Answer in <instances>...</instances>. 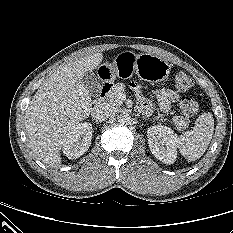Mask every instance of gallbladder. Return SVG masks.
<instances>
[{"instance_id": "1", "label": "gallbladder", "mask_w": 233, "mask_h": 233, "mask_svg": "<svg viewBox=\"0 0 233 233\" xmlns=\"http://www.w3.org/2000/svg\"><path fill=\"white\" fill-rule=\"evenodd\" d=\"M83 83L91 95L97 96L99 94L101 87L100 81L94 72H85L83 75Z\"/></svg>"}]
</instances>
